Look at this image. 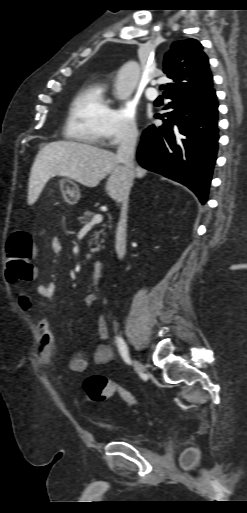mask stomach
Wrapping results in <instances>:
<instances>
[{
	"instance_id": "1",
	"label": "stomach",
	"mask_w": 247,
	"mask_h": 513,
	"mask_svg": "<svg viewBox=\"0 0 247 513\" xmlns=\"http://www.w3.org/2000/svg\"><path fill=\"white\" fill-rule=\"evenodd\" d=\"M60 187L68 203L73 204L80 198L78 185L70 178H63Z\"/></svg>"
}]
</instances>
